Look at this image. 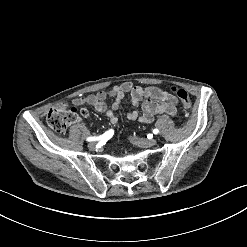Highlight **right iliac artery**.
<instances>
[{"label":"right iliac artery","instance_id":"obj_1","mask_svg":"<svg viewBox=\"0 0 247 247\" xmlns=\"http://www.w3.org/2000/svg\"><path fill=\"white\" fill-rule=\"evenodd\" d=\"M114 134V130L110 129L107 132H105L103 135H100L99 137H88L87 141H95V140H102V141H107L109 140Z\"/></svg>","mask_w":247,"mask_h":247}]
</instances>
